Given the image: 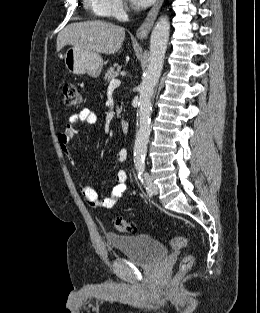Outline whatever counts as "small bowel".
Here are the masks:
<instances>
[{"instance_id":"obj_1","label":"small bowel","mask_w":260,"mask_h":313,"mask_svg":"<svg viewBox=\"0 0 260 313\" xmlns=\"http://www.w3.org/2000/svg\"><path fill=\"white\" fill-rule=\"evenodd\" d=\"M96 123V114L89 109H82L81 111L74 113L69 117L68 125L58 134V144L72 165L75 164V161L69 151L68 145L76 133V126L79 124L95 125ZM115 158L117 162L124 163L127 159V150L124 148L119 149L116 152ZM115 180L116 184L112 188L108 197L99 198L94 188L88 185L81 177H76V182L87 204L96 208L104 209H109L115 206L128 190L127 173L125 171H118Z\"/></svg>"}]
</instances>
